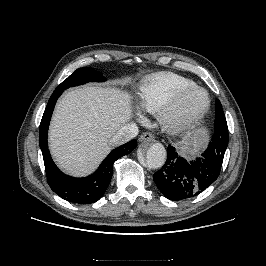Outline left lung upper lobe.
Masks as SVG:
<instances>
[{
  "instance_id": "left-lung-upper-lobe-1",
  "label": "left lung upper lobe",
  "mask_w": 266,
  "mask_h": 266,
  "mask_svg": "<svg viewBox=\"0 0 266 266\" xmlns=\"http://www.w3.org/2000/svg\"><path fill=\"white\" fill-rule=\"evenodd\" d=\"M215 111V134L212 139L222 137L223 134H226L224 138H228L227 122L219 100H216Z\"/></svg>"
}]
</instances>
